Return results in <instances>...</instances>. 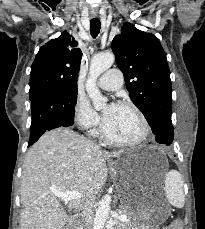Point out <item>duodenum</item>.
Segmentation results:
<instances>
[{
    "mask_svg": "<svg viewBox=\"0 0 205 229\" xmlns=\"http://www.w3.org/2000/svg\"><path fill=\"white\" fill-rule=\"evenodd\" d=\"M79 225H80V222H77L76 224L69 226L67 228H64V229H79Z\"/></svg>",
    "mask_w": 205,
    "mask_h": 229,
    "instance_id": "obj_1",
    "label": "duodenum"
}]
</instances>
